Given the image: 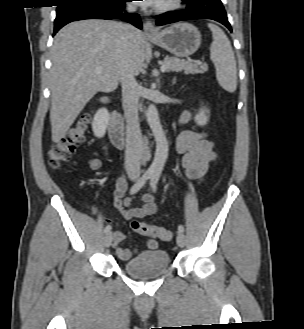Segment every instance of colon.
<instances>
[{
    "label": "colon",
    "mask_w": 304,
    "mask_h": 329,
    "mask_svg": "<svg viewBox=\"0 0 304 329\" xmlns=\"http://www.w3.org/2000/svg\"><path fill=\"white\" fill-rule=\"evenodd\" d=\"M92 119V113L85 111L69 129V131L55 141L49 150V163L53 169H59L70 162L77 147L82 144L88 132ZM132 229L146 237L156 238L161 241H170L173 238L172 230L151 225L142 221L133 220Z\"/></svg>",
    "instance_id": "obj_1"
}]
</instances>
